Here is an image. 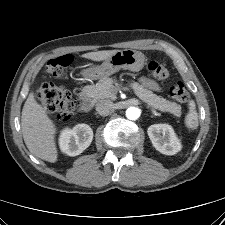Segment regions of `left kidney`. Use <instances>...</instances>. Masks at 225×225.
<instances>
[{
	"label": "left kidney",
	"mask_w": 225,
	"mask_h": 225,
	"mask_svg": "<svg viewBox=\"0 0 225 225\" xmlns=\"http://www.w3.org/2000/svg\"><path fill=\"white\" fill-rule=\"evenodd\" d=\"M148 136L160 153L174 155L181 150L180 140L176 137L173 128L168 124H154L147 130Z\"/></svg>",
	"instance_id": "obj_1"
}]
</instances>
